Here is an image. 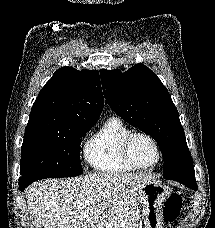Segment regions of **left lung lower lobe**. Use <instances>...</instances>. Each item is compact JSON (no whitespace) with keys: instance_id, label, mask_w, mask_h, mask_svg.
Here are the masks:
<instances>
[{"instance_id":"0a47b994","label":"left lung lower lobe","mask_w":215,"mask_h":228,"mask_svg":"<svg viewBox=\"0 0 215 228\" xmlns=\"http://www.w3.org/2000/svg\"><path fill=\"white\" fill-rule=\"evenodd\" d=\"M165 179L174 180L187 186L188 188L197 191V183L194 173L185 174L177 177H164Z\"/></svg>"}]
</instances>
